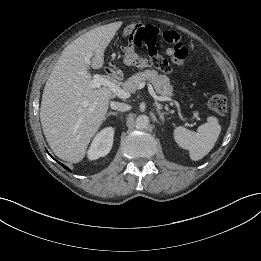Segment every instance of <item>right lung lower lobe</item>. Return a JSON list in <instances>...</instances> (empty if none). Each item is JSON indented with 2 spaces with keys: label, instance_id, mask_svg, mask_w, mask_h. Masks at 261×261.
<instances>
[{
  "label": "right lung lower lobe",
  "instance_id": "obj_1",
  "mask_svg": "<svg viewBox=\"0 0 261 261\" xmlns=\"http://www.w3.org/2000/svg\"><path fill=\"white\" fill-rule=\"evenodd\" d=\"M61 164V163H60ZM65 169H67L68 171H70L69 170V168L68 167H66L65 165H63V164H61Z\"/></svg>",
  "mask_w": 261,
  "mask_h": 261
}]
</instances>
